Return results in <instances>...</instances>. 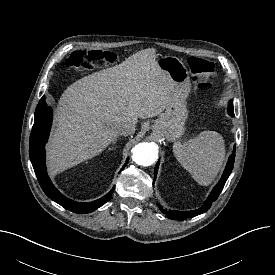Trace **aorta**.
Returning <instances> with one entry per match:
<instances>
[{
	"instance_id": "aorta-1",
	"label": "aorta",
	"mask_w": 275,
	"mask_h": 275,
	"mask_svg": "<svg viewBox=\"0 0 275 275\" xmlns=\"http://www.w3.org/2000/svg\"><path fill=\"white\" fill-rule=\"evenodd\" d=\"M133 161L141 166H150L158 159V150L151 143H139L132 149Z\"/></svg>"
}]
</instances>
